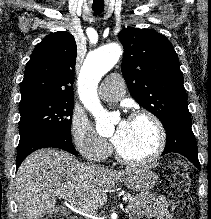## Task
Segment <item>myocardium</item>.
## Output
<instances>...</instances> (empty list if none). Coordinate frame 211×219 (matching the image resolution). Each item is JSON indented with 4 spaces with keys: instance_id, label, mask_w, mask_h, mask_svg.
<instances>
[{
    "instance_id": "1",
    "label": "myocardium",
    "mask_w": 211,
    "mask_h": 219,
    "mask_svg": "<svg viewBox=\"0 0 211 219\" xmlns=\"http://www.w3.org/2000/svg\"><path fill=\"white\" fill-rule=\"evenodd\" d=\"M140 118H146L152 122L157 132V144L154 151L147 157L141 159H130L123 156L120 151L115 148V157L118 162L126 166H144L156 161L163 153L166 142L167 134L162 121L154 113L148 110H138L131 114L130 120H137Z\"/></svg>"
}]
</instances>
